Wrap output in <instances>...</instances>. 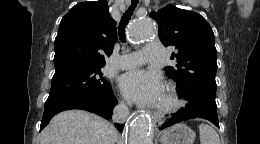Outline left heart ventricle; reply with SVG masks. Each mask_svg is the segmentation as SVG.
Returning a JSON list of instances; mask_svg holds the SVG:
<instances>
[{"label": "left heart ventricle", "mask_w": 260, "mask_h": 144, "mask_svg": "<svg viewBox=\"0 0 260 144\" xmlns=\"http://www.w3.org/2000/svg\"><path fill=\"white\" fill-rule=\"evenodd\" d=\"M165 102H166V93L164 92L163 95H162V97H161V99H160V101L158 102L157 105H162V104H164Z\"/></svg>", "instance_id": "left-heart-ventricle-1"}]
</instances>
